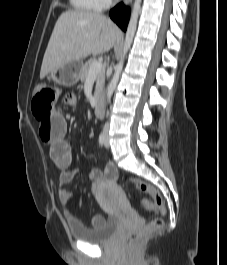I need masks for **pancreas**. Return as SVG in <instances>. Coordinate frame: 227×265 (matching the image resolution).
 I'll list each match as a JSON object with an SVG mask.
<instances>
[{
    "mask_svg": "<svg viewBox=\"0 0 227 265\" xmlns=\"http://www.w3.org/2000/svg\"><path fill=\"white\" fill-rule=\"evenodd\" d=\"M98 62L96 58L89 59L81 69L80 73V80L83 82L85 81L89 76L90 67ZM105 83V71L102 69L97 75H96V87H95V96H97L103 89Z\"/></svg>",
    "mask_w": 227,
    "mask_h": 265,
    "instance_id": "1",
    "label": "pancreas"
}]
</instances>
